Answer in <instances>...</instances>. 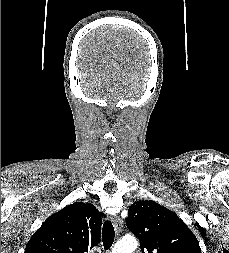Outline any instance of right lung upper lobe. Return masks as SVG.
I'll return each instance as SVG.
<instances>
[{
	"instance_id": "obj_1",
	"label": "right lung upper lobe",
	"mask_w": 229,
	"mask_h": 253,
	"mask_svg": "<svg viewBox=\"0 0 229 253\" xmlns=\"http://www.w3.org/2000/svg\"><path fill=\"white\" fill-rule=\"evenodd\" d=\"M102 217L91 203L70 204L42 223L25 253H87L100 240Z\"/></svg>"
}]
</instances>
